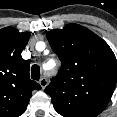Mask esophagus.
<instances>
[{"label": "esophagus", "mask_w": 117, "mask_h": 117, "mask_svg": "<svg viewBox=\"0 0 117 117\" xmlns=\"http://www.w3.org/2000/svg\"><path fill=\"white\" fill-rule=\"evenodd\" d=\"M40 86L44 89L48 85V80L46 77H42L39 81Z\"/></svg>", "instance_id": "obj_1"}]
</instances>
